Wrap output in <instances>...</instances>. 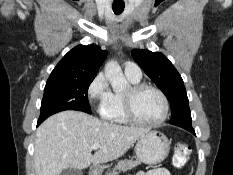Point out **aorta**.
<instances>
[{
  "label": "aorta",
  "instance_id": "aorta-1",
  "mask_svg": "<svg viewBox=\"0 0 233 175\" xmlns=\"http://www.w3.org/2000/svg\"><path fill=\"white\" fill-rule=\"evenodd\" d=\"M104 72L114 92H121L128 87V82L117 62L109 61L105 65Z\"/></svg>",
  "mask_w": 233,
  "mask_h": 175
}]
</instances>
